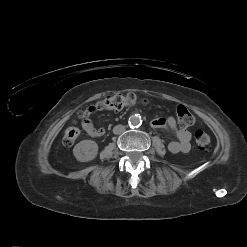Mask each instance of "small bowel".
<instances>
[{
	"mask_svg": "<svg viewBox=\"0 0 247 247\" xmlns=\"http://www.w3.org/2000/svg\"><path fill=\"white\" fill-rule=\"evenodd\" d=\"M92 112L89 113V115ZM88 115V116H89ZM86 116L81 125L83 130L91 137H101L105 133L104 128H96L90 118ZM151 126L155 129H166L175 134L177 140L168 144V150L171 153H187L191 148V133L184 129L178 128L177 122L173 117L156 118L152 120Z\"/></svg>",
	"mask_w": 247,
	"mask_h": 247,
	"instance_id": "c3829d8e",
	"label": "small bowel"
}]
</instances>
